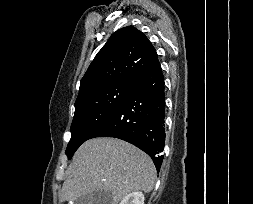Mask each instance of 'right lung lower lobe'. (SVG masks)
Wrapping results in <instances>:
<instances>
[{
    "instance_id": "98d812e1",
    "label": "right lung lower lobe",
    "mask_w": 253,
    "mask_h": 204,
    "mask_svg": "<svg viewBox=\"0 0 253 204\" xmlns=\"http://www.w3.org/2000/svg\"><path fill=\"white\" fill-rule=\"evenodd\" d=\"M164 77L159 61L140 76L130 92L93 136L125 140L144 152L160 170L165 145Z\"/></svg>"
}]
</instances>
